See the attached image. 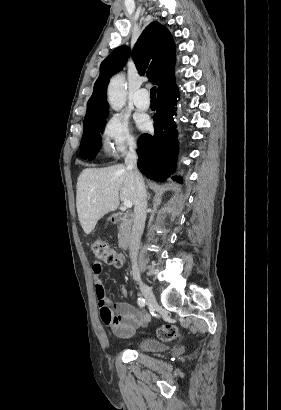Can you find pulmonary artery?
<instances>
[{"instance_id": "1", "label": "pulmonary artery", "mask_w": 281, "mask_h": 410, "mask_svg": "<svg viewBox=\"0 0 281 410\" xmlns=\"http://www.w3.org/2000/svg\"><path fill=\"white\" fill-rule=\"evenodd\" d=\"M134 104L140 110H147L150 106L148 91L145 88L139 89L134 95Z\"/></svg>"}]
</instances>
